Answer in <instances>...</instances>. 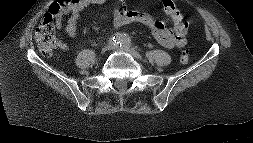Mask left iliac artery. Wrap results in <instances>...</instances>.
Segmentation results:
<instances>
[{"label":"left iliac artery","instance_id":"44dca946","mask_svg":"<svg viewBox=\"0 0 253 143\" xmlns=\"http://www.w3.org/2000/svg\"><path fill=\"white\" fill-rule=\"evenodd\" d=\"M131 46V39L129 38V37H127V36H124L123 37V40H122V42H121V44H120V47H130Z\"/></svg>","mask_w":253,"mask_h":143}]
</instances>
